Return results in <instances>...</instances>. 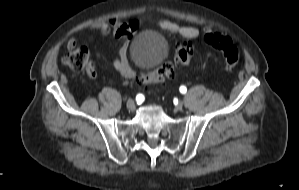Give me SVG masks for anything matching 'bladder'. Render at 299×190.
<instances>
[{
  "label": "bladder",
  "mask_w": 299,
  "mask_h": 190,
  "mask_svg": "<svg viewBox=\"0 0 299 190\" xmlns=\"http://www.w3.org/2000/svg\"><path fill=\"white\" fill-rule=\"evenodd\" d=\"M166 52L165 41L155 32H146L136 37L129 51L133 65L147 71L159 64Z\"/></svg>",
  "instance_id": "obj_1"
}]
</instances>
